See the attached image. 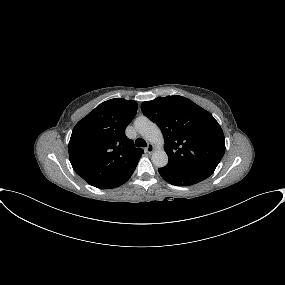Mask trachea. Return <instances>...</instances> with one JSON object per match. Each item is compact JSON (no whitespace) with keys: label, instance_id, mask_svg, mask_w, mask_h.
I'll list each match as a JSON object with an SVG mask.
<instances>
[{"label":"trachea","instance_id":"1","mask_svg":"<svg viewBox=\"0 0 285 285\" xmlns=\"http://www.w3.org/2000/svg\"><path fill=\"white\" fill-rule=\"evenodd\" d=\"M135 145H136V147H146L147 143H146V141L144 139L138 138L135 141Z\"/></svg>","mask_w":285,"mask_h":285}]
</instances>
